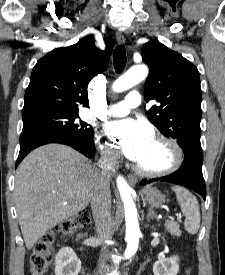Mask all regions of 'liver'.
<instances>
[{"mask_svg":"<svg viewBox=\"0 0 225 275\" xmlns=\"http://www.w3.org/2000/svg\"><path fill=\"white\" fill-rule=\"evenodd\" d=\"M97 167L61 144L33 150L18 166L14 198L26 248L84 210L91 201Z\"/></svg>","mask_w":225,"mask_h":275,"instance_id":"obj_1","label":"liver"}]
</instances>
